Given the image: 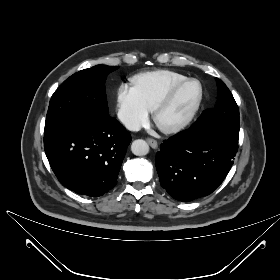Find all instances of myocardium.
I'll return each instance as SVG.
<instances>
[{
	"label": "myocardium",
	"instance_id": "f54148a6",
	"mask_svg": "<svg viewBox=\"0 0 280 280\" xmlns=\"http://www.w3.org/2000/svg\"><path fill=\"white\" fill-rule=\"evenodd\" d=\"M190 83H195L199 87V94L197 97V100L193 107L191 108L190 112L187 114V116L179 121L178 123L169 126V127H159L157 125V117L159 113L167 107L172 99L174 98L175 94L179 89H181L183 86L190 84ZM204 96V90L201 82L198 79L195 78H187L181 82L175 83L172 86H170L167 91L163 94V96L159 99V101L155 104V106L152 109V118L154 123L157 125L159 130L165 134H174L177 133L181 130H183L185 127H187L194 117L196 116L197 112L199 111V108L201 106L202 100Z\"/></svg>",
	"mask_w": 280,
	"mask_h": 280
}]
</instances>
